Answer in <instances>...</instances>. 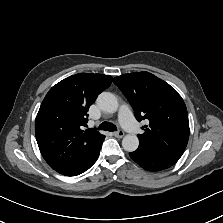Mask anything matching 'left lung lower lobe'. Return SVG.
I'll list each match as a JSON object with an SVG mask.
<instances>
[{
	"instance_id": "obj_1",
	"label": "left lung lower lobe",
	"mask_w": 223,
	"mask_h": 223,
	"mask_svg": "<svg viewBox=\"0 0 223 223\" xmlns=\"http://www.w3.org/2000/svg\"><path fill=\"white\" fill-rule=\"evenodd\" d=\"M129 155L137 164L148 171L164 170L178 161L173 158L152 154L138 149L129 153Z\"/></svg>"
}]
</instances>
